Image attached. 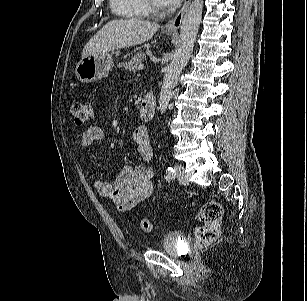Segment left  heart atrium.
<instances>
[{
	"label": "left heart atrium",
	"mask_w": 307,
	"mask_h": 301,
	"mask_svg": "<svg viewBox=\"0 0 307 301\" xmlns=\"http://www.w3.org/2000/svg\"><path fill=\"white\" fill-rule=\"evenodd\" d=\"M181 0H154V3L162 9H173L180 4Z\"/></svg>",
	"instance_id": "39dd6f15"
}]
</instances>
